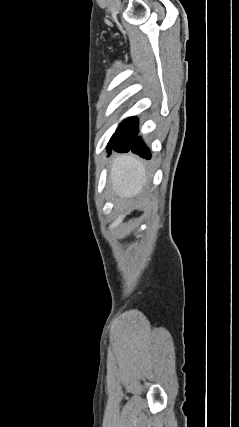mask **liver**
Returning a JSON list of instances; mask_svg holds the SVG:
<instances>
[{
	"label": "liver",
	"mask_w": 239,
	"mask_h": 427,
	"mask_svg": "<svg viewBox=\"0 0 239 427\" xmlns=\"http://www.w3.org/2000/svg\"><path fill=\"white\" fill-rule=\"evenodd\" d=\"M109 178L113 192L121 198L140 195L146 183L142 162L130 155H120L112 160Z\"/></svg>",
	"instance_id": "obj_1"
}]
</instances>
